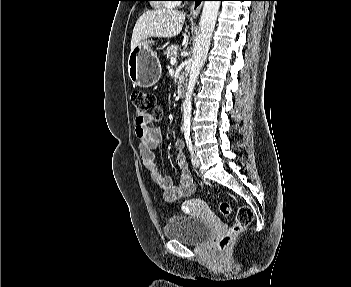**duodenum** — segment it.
Returning <instances> with one entry per match:
<instances>
[{"label":"duodenum","mask_w":351,"mask_h":287,"mask_svg":"<svg viewBox=\"0 0 351 287\" xmlns=\"http://www.w3.org/2000/svg\"><path fill=\"white\" fill-rule=\"evenodd\" d=\"M183 92H184V82L182 81V82H180V85L178 87V95L182 96Z\"/></svg>","instance_id":"duodenum-1"}]
</instances>
